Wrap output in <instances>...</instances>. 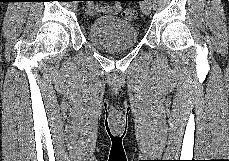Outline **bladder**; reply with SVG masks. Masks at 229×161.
Masks as SVG:
<instances>
[{"label":"bladder","instance_id":"bladder-1","mask_svg":"<svg viewBox=\"0 0 229 161\" xmlns=\"http://www.w3.org/2000/svg\"><path fill=\"white\" fill-rule=\"evenodd\" d=\"M88 38L100 49H127L136 45L138 31L125 19L118 16H104L91 22L88 27Z\"/></svg>","mask_w":229,"mask_h":161}]
</instances>
